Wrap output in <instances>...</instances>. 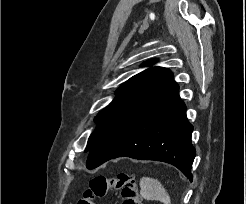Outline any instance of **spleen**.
Wrapping results in <instances>:
<instances>
[{
	"mask_svg": "<svg viewBox=\"0 0 246 204\" xmlns=\"http://www.w3.org/2000/svg\"><path fill=\"white\" fill-rule=\"evenodd\" d=\"M141 195L144 199L160 201L163 204H171L170 196L161 182L150 177L140 179Z\"/></svg>",
	"mask_w": 246,
	"mask_h": 204,
	"instance_id": "1",
	"label": "spleen"
}]
</instances>
